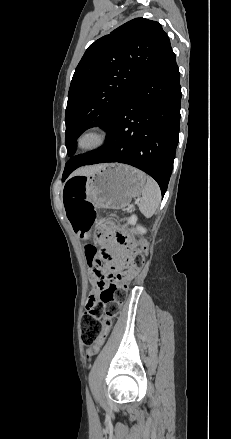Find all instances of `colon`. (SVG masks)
Segmentation results:
<instances>
[{
  "instance_id": "colon-1",
  "label": "colon",
  "mask_w": 231,
  "mask_h": 439,
  "mask_svg": "<svg viewBox=\"0 0 231 439\" xmlns=\"http://www.w3.org/2000/svg\"><path fill=\"white\" fill-rule=\"evenodd\" d=\"M86 184L81 179L69 181L63 190L65 201L72 207L71 219L74 227L80 232H86L95 224L109 226L116 224L120 231L114 235V241L121 246L130 249L124 261L122 271L117 274L105 276L99 273L102 281L105 278L109 280V286L100 293V303H94L89 306L81 319V339L87 347V354L93 355L97 352L95 344L105 339L113 319L119 314L124 304L126 292L132 282L136 272L142 268L144 261V252L147 250L146 242H142L141 249L131 248V239L124 232L126 221L115 216H109L98 219L95 215L94 208L87 201L80 200L79 197L85 192ZM106 238V235H104ZM87 261L92 265L96 260L98 251L96 247L86 250ZM115 267L116 263L111 262Z\"/></svg>"
}]
</instances>
